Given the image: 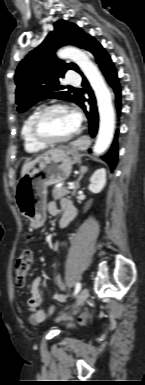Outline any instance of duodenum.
<instances>
[{
    "mask_svg": "<svg viewBox=\"0 0 145 385\" xmlns=\"http://www.w3.org/2000/svg\"><path fill=\"white\" fill-rule=\"evenodd\" d=\"M73 212L71 210H67L64 215L62 216L60 222H59V227L61 229L63 228H66L68 226V224L70 223V221L72 220L73 216H72Z\"/></svg>",
    "mask_w": 145,
    "mask_h": 385,
    "instance_id": "1",
    "label": "duodenum"
}]
</instances>
